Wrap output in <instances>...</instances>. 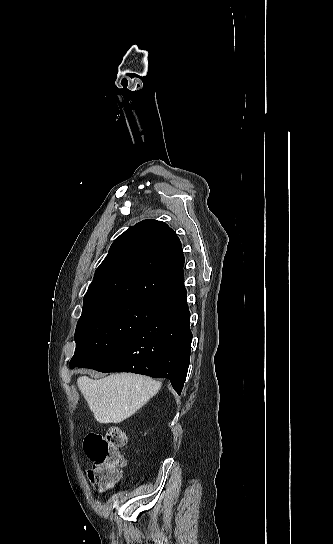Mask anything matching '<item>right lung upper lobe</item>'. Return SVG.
Masks as SVG:
<instances>
[{
    "label": "right lung upper lobe",
    "instance_id": "right-lung-upper-lobe-1",
    "mask_svg": "<svg viewBox=\"0 0 333 544\" xmlns=\"http://www.w3.org/2000/svg\"><path fill=\"white\" fill-rule=\"evenodd\" d=\"M183 265L176 233L164 222L144 220L113 242L84 302L147 296L170 303L186 295Z\"/></svg>",
    "mask_w": 333,
    "mask_h": 544
}]
</instances>
